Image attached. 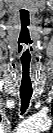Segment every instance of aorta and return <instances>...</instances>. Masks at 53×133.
<instances>
[{"label": "aorta", "instance_id": "aorta-1", "mask_svg": "<svg viewBox=\"0 0 53 133\" xmlns=\"http://www.w3.org/2000/svg\"><path fill=\"white\" fill-rule=\"evenodd\" d=\"M51 120L47 116H33L26 120L23 124V131H30V132H39L43 129L48 128L50 126Z\"/></svg>", "mask_w": 53, "mask_h": 133}]
</instances>
